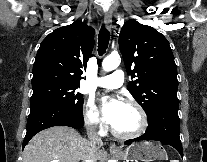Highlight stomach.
<instances>
[{
  "mask_svg": "<svg viewBox=\"0 0 207 162\" xmlns=\"http://www.w3.org/2000/svg\"><path fill=\"white\" fill-rule=\"evenodd\" d=\"M115 156L125 161L153 162L155 160H166L167 153L160 143L139 142L128 146L125 150L120 149Z\"/></svg>",
  "mask_w": 207,
  "mask_h": 162,
  "instance_id": "stomach-1",
  "label": "stomach"
}]
</instances>
